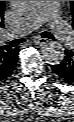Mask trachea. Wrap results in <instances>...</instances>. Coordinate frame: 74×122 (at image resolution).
I'll use <instances>...</instances> for the list:
<instances>
[{
	"label": "trachea",
	"mask_w": 74,
	"mask_h": 122,
	"mask_svg": "<svg viewBox=\"0 0 74 122\" xmlns=\"http://www.w3.org/2000/svg\"><path fill=\"white\" fill-rule=\"evenodd\" d=\"M41 36L43 38L54 39V36L50 32H43L41 34ZM23 42H25V39L24 38H19V39H15V40L10 41L9 45L12 46V47H16V46H18L19 44H21Z\"/></svg>",
	"instance_id": "1"
}]
</instances>
